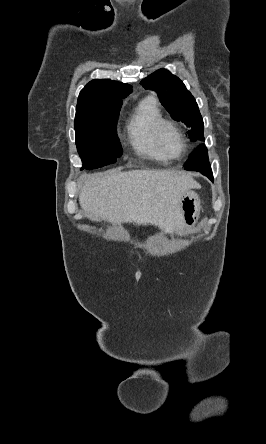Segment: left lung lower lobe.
<instances>
[{"mask_svg":"<svg viewBox=\"0 0 266 444\" xmlns=\"http://www.w3.org/2000/svg\"><path fill=\"white\" fill-rule=\"evenodd\" d=\"M186 170L199 171L213 181L211 166L208 160L207 149L202 146L195 151L185 163Z\"/></svg>","mask_w":266,"mask_h":444,"instance_id":"0a47b994","label":"left lung lower lobe"}]
</instances>
